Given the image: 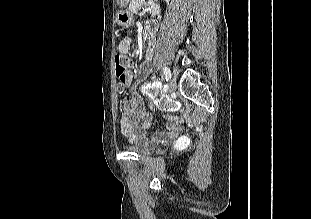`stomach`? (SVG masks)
Returning <instances> with one entry per match:
<instances>
[{
  "label": "stomach",
  "instance_id": "0dacf381",
  "mask_svg": "<svg viewBox=\"0 0 311 219\" xmlns=\"http://www.w3.org/2000/svg\"><path fill=\"white\" fill-rule=\"evenodd\" d=\"M117 20L120 25L129 26L133 21V16L130 12L124 11L117 14Z\"/></svg>",
  "mask_w": 311,
  "mask_h": 219
}]
</instances>
